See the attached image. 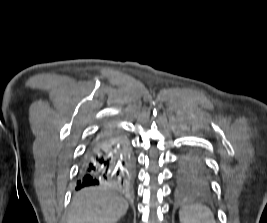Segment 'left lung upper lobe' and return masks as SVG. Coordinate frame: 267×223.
Returning <instances> with one entry per match:
<instances>
[{
  "label": "left lung upper lobe",
  "mask_w": 267,
  "mask_h": 223,
  "mask_svg": "<svg viewBox=\"0 0 267 223\" xmlns=\"http://www.w3.org/2000/svg\"><path fill=\"white\" fill-rule=\"evenodd\" d=\"M180 171H204L202 166L192 156L183 159Z\"/></svg>",
  "instance_id": "5c2ea615"
}]
</instances>
